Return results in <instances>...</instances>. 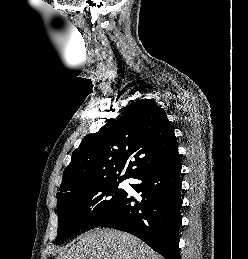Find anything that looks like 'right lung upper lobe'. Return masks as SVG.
Returning <instances> with one entry per match:
<instances>
[{
	"label": "right lung upper lobe",
	"instance_id": "obj_1",
	"mask_svg": "<svg viewBox=\"0 0 248 259\" xmlns=\"http://www.w3.org/2000/svg\"><path fill=\"white\" fill-rule=\"evenodd\" d=\"M120 111L121 117L108 120L98 132L86 135L72 153L57 200L79 186L132 178L178 154L171 122L155 102L132 101ZM124 168L125 174L119 177Z\"/></svg>",
	"mask_w": 248,
	"mask_h": 259
}]
</instances>
